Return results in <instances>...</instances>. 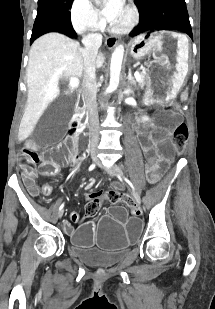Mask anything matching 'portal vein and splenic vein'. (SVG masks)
<instances>
[{"instance_id":"1","label":"portal vein and splenic vein","mask_w":215,"mask_h":309,"mask_svg":"<svg viewBox=\"0 0 215 309\" xmlns=\"http://www.w3.org/2000/svg\"><path fill=\"white\" fill-rule=\"evenodd\" d=\"M134 76L136 80H141V76L139 72H134ZM79 84V78H74V76H70L69 78V86H78Z\"/></svg>"}]
</instances>
